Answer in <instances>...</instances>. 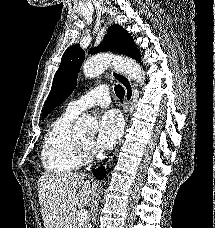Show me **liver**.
<instances>
[{"label": "liver", "mask_w": 215, "mask_h": 228, "mask_svg": "<svg viewBox=\"0 0 215 228\" xmlns=\"http://www.w3.org/2000/svg\"><path fill=\"white\" fill-rule=\"evenodd\" d=\"M37 186L45 228H75L77 206L88 204L92 180H85L84 174L48 172L40 176Z\"/></svg>", "instance_id": "1"}]
</instances>
